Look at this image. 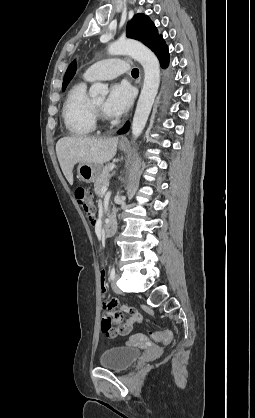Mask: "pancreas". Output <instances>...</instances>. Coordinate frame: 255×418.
I'll use <instances>...</instances> for the list:
<instances>
[{"label":"pancreas","mask_w":255,"mask_h":418,"mask_svg":"<svg viewBox=\"0 0 255 418\" xmlns=\"http://www.w3.org/2000/svg\"><path fill=\"white\" fill-rule=\"evenodd\" d=\"M113 168H114V164L106 165L103 168L99 177L95 180L94 190H95V194L97 196H101L102 195V188L108 186L109 178L111 176V171L113 170Z\"/></svg>","instance_id":"cf45deb5"}]
</instances>
